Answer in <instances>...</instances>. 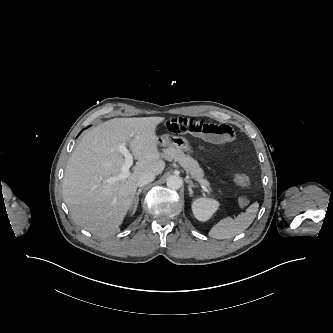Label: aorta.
<instances>
[{
    "instance_id": "762f6f07",
    "label": "aorta",
    "mask_w": 333,
    "mask_h": 333,
    "mask_svg": "<svg viewBox=\"0 0 333 333\" xmlns=\"http://www.w3.org/2000/svg\"><path fill=\"white\" fill-rule=\"evenodd\" d=\"M167 187L173 190L180 189L182 186L183 182L182 179L179 176L172 175L167 178Z\"/></svg>"
}]
</instances>
